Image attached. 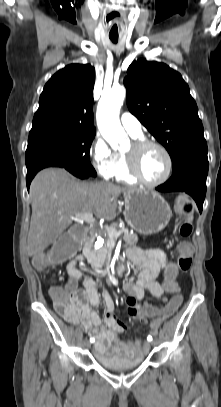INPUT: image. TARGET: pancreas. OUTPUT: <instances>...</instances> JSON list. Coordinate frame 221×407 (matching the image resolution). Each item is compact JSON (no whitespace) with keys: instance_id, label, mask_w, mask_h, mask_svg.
Listing matches in <instances>:
<instances>
[{"instance_id":"pancreas-1","label":"pancreas","mask_w":221,"mask_h":407,"mask_svg":"<svg viewBox=\"0 0 221 407\" xmlns=\"http://www.w3.org/2000/svg\"><path fill=\"white\" fill-rule=\"evenodd\" d=\"M113 227L115 228V225ZM89 234L90 236L84 245L85 255L93 267L100 268L105 263L107 249L106 246H104L99 250H95L93 248V244L98 236H102L103 238L108 240V233L107 231L99 232L95 228H92L90 229ZM123 240L125 241V246H135L138 242V235L134 233L131 234L128 232V230H124Z\"/></svg>"}]
</instances>
